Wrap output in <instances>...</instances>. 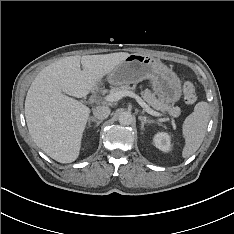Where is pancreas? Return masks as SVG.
I'll return each instance as SVG.
<instances>
[{
    "label": "pancreas",
    "instance_id": "obj_1",
    "mask_svg": "<svg viewBox=\"0 0 234 234\" xmlns=\"http://www.w3.org/2000/svg\"><path fill=\"white\" fill-rule=\"evenodd\" d=\"M136 89V86H130L129 84L121 85L120 87H113L110 92H120V91H133ZM141 96L148 103L149 106L153 107L156 110L168 111L171 115L177 117L180 114L179 107H169L161 103L149 89L141 91Z\"/></svg>",
    "mask_w": 234,
    "mask_h": 234
}]
</instances>
